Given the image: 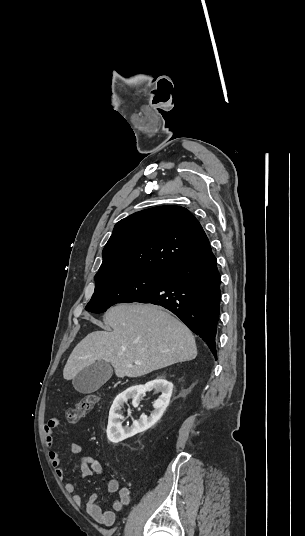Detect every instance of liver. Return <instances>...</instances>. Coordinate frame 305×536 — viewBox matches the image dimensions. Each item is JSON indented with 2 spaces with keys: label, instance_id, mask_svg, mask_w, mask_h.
Listing matches in <instances>:
<instances>
[{
  "label": "liver",
  "instance_id": "liver-1",
  "mask_svg": "<svg viewBox=\"0 0 305 536\" xmlns=\"http://www.w3.org/2000/svg\"><path fill=\"white\" fill-rule=\"evenodd\" d=\"M103 322L113 332H92L81 340L66 362L64 380L99 360L109 362L117 378H139L197 356L190 330L161 306L117 304Z\"/></svg>",
  "mask_w": 305,
  "mask_h": 536
}]
</instances>
